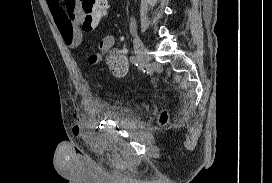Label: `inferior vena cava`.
Wrapping results in <instances>:
<instances>
[{
    "instance_id": "obj_1",
    "label": "inferior vena cava",
    "mask_w": 272,
    "mask_h": 183,
    "mask_svg": "<svg viewBox=\"0 0 272 183\" xmlns=\"http://www.w3.org/2000/svg\"><path fill=\"white\" fill-rule=\"evenodd\" d=\"M135 25H136L135 20L132 19V20H131V24H130V28H131V29L134 28Z\"/></svg>"
}]
</instances>
